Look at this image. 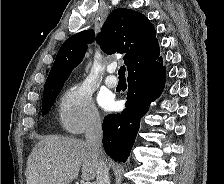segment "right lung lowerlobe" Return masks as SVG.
<instances>
[{
  "mask_svg": "<svg viewBox=\"0 0 224 184\" xmlns=\"http://www.w3.org/2000/svg\"><path fill=\"white\" fill-rule=\"evenodd\" d=\"M166 78L163 63L128 76L126 109L121 114H110L103 121V146L116 161L125 162L130 155L139 123L151 102L161 94Z\"/></svg>",
  "mask_w": 224,
  "mask_h": 184,
  "instance_id": "98d812e1",
  "label": "right lung lower lobe"
}]
</instances>
